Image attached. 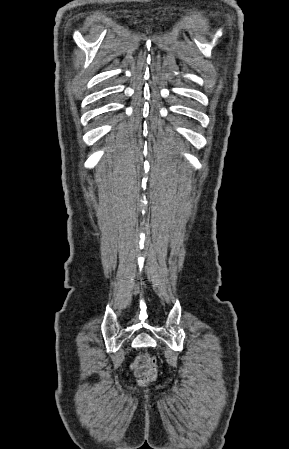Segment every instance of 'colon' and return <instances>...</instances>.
I'll return each mask as SVG.
<instances>
[{"label": "colon", "mask_w": 289, "mask_h": 449, "mask_svg": "<svg viewBox=\"0 0 289 449\" xmlns=\"http://www.w3.org/2000/svg\"><path fill=\"white\" fill-rule=\"evenodd\" d=\"M148 370L139 378L141 385H147L154 381L158 373L157 359L154 356L147 355Z\"/></svg>", "instance_id": "1"}]
</instances>
